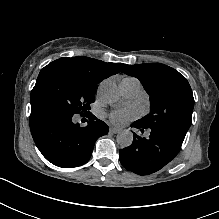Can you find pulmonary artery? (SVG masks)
I'll list each match as a JSON object with an SVG mask.
<instances>
[{
  "instance_id": "pulmonary-artery-1",
  "label": "pulmonary artery",
  "mask_w": 219,
  "mask_h": 219,
  "mask_svg": "<svg viewBox=\"0 0 219 219\" xmlns=\"http://www.w3.org/2000/svg\"><path fill=\"white\" fill-rule=\"evenodd\" d=\"M120 89L124 97L133 99L139 93L140 84L138 82H121Z\"/></svg>"
}]
</instances>
